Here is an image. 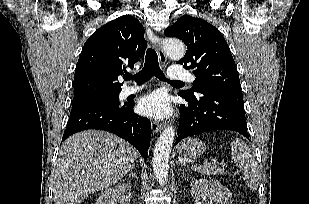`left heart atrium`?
Returning <instances> with one entry per match:
<instances>
[{
  "label": "left heart atrium",
  "mask_w": 309,
  "mask_h": 204,
  "mask_svg": "<svg viewBox=\"0 0 309 204\" xmlns=\"http://www.w3.org/2000/svg\"><path fill=\"white\" fill-rule=\"evenodd\" d=\"M141 114L155 119H163L170 115L172 109L168 96L161 91L143 97L138 105Z\"/></svg>",
  "instance_id": "left-heart-atrium-1"
}]
</instances>
